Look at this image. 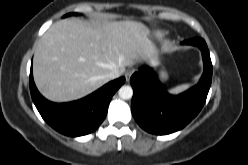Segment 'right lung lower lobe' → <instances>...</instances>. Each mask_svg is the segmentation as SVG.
Returning a JSON list of instances; mask_svg holds the SVG:
<instances>
[{"instance_id":"1","label":"right lung lower lobe","mask_w":248,"mask_h":165,"mask_svg":"<svg viewBox=\"0 0 248 165\" xmlns=\"http://www.w3.org/2000/svg\"><path fill=\"white\" fill-rule=\"evenodd\" d=\"M124 82L125 78L121 77L83 99L57 104L38 92L30 72V92L40 115L55 130L71 137L86 135L98 128L106 117L113 94Z\"/></svg>"}]
</instances>
